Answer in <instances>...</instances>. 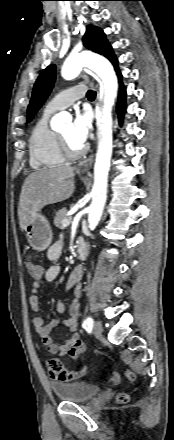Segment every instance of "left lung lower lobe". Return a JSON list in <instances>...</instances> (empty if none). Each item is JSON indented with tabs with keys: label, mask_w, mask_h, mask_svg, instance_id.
Segmentation results:
<instances>
[{
	"label": "left lung lower lobe",
	"mask_w": 174,
	"mask_h": 440,
	"mask_svg": "<svg viewBox=\"0 0 174 440\" xmlns=\"http://www.w3.org/2000/svg\"><path fill=\"white\" fill-rule=\"evenodd\" d=\"M110 61L114 65V68H115V70H116V72L118 74L119 80H120V91H119V99H118V105H117V112H118V115H119V120L121 121V119H122V117L124 115V112L126 110V103H125L126 90H125V88L123 86V83H122V75H121V73L119 72V69H118V59L116 58V56H113L110 59Z\"/></svg>",
	"instance_id": "obj_1"
}]
</instances>
